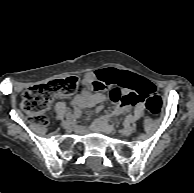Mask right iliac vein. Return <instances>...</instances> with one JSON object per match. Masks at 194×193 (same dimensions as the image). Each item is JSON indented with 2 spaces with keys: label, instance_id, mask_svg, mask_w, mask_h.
<instances>
[{
  "label": "right iliac vein",
  "instance_id": "1",
  "mask_svg": "<svg viewBox=\"0 0 194 193\" xmlns=\"http://www.w3.org/2000/svg\"><path fill=\"white\" fill-rule=\"evenodd\" d=\"M72 125H73V121L72 120H66V121H63L62 122V126L65 129H71L72 128Z\"/></svg>",
  "mask_w": 194,
  "mask_h": 193
}]
</instances>
